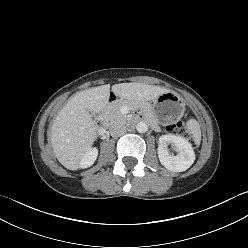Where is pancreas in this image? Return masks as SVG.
Listing matches in <instances>:
<instances>
[{
    "instance_id": "obj_1",
    "label": "pancreas",
    "mask_w": 248,
    "mask_h": 248,
    "mask_svg": "<svg viewBox=\"0 0 248 248\" xmlns=\"http://www.w3.org/2000/svg\"><path fill=\"white\" fill-rule=\"evenodd\" d=\"M129 105L128 101H121L119 104H116L112 107H110L106 113V119L110 123H115V122H125L127 120V116L122 114L120 112L121 107ZM146 116L150 117V113L148 111V107L145 110Z\"/></svg>"
}]
</instances>
